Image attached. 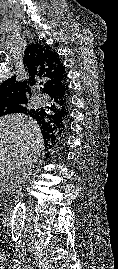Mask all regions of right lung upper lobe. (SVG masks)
<instances>
[{
    "instance_id": "right-lung-upper-lobe-1",
    "label": "right lung upper lobe",
    "mask_w": 118,
    "mask_h": 269,
    "mask_svg": "<svg viewBox=\"0 0 118 269\" xmlns=\"http://www.w3.org/2000/svg\"><path fill=\"white\" fill-rule=\"evenodd\" d=\"M23 64L27 72L26 80L17 81L13 76L0 84V106L27 104L32 95L31 87L42 85L40 89L49 98V105L36 110L26 107L21 113L38 121L47 141L53 133L61 131L64 127L62 121L68 115L69 90L65 66L50 46L40 44H31L25 49Z\"/></svg>"
}]
</instances>
